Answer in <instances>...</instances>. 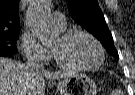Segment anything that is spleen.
Segmentation results:
<instances>
[{
	"mask_svg": "<svg viewBox=\"0 0 135 95\" xmlns=\"http://www.w3.org/2000/svg\"><path fill=\"white\" fill-rule=\"evenodd\" d=\"M112 95H123V93L120 90H114Z\"/></svg>",
	"mask_w": 135,
	"mask_h": 95,
	"instance_id": "1",
	"label": "spleen"
}]
</instances>
